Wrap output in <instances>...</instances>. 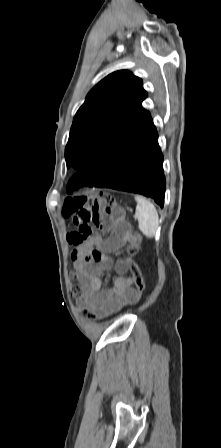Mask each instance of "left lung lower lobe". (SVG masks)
I'll list each match as a JSON object with an SVG mask.
<instances>
[{
  "label": "left lung lower lobe",
  "mask_w": 221,
  "mask_h": 448,
  "mask_svg": "<svg viewBox=\"0 0 221 448\" xmlns=\"http://www.w3.org/2000/svg\"><path fill=\"white\" fill-rule=\"evenodd\" d=\"M106 187L151 197L164 204L165 177L158 133L151 116L120 143L97 167L80 170L68 182L67 192Z\"/></svg>",
  "instance_id": "1"
}]
</instances>
